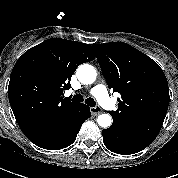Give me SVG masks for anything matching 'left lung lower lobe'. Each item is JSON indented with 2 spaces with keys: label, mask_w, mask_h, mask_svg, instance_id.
Listing matches in <instances>:
<instances>
[{
  "label": "left lung lower lobe",
  "mask_w": 178,
  "mask_h": 178,
  "mask_svg": "<svg viewBox=\"0 0 178 178\" xmlns=\"http://www.w3.org/2000/svg\"><path fill=\"white\" fill-rule=\"evenodd\" d=\"M102 135L106 147L110 151L121 155L138 153L153 142V140L116 123H113L110 128L104 129Z\"/></svg>",
  "instance_id": "0a47b994"
}]
</instances>
